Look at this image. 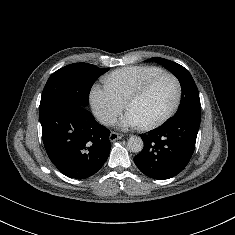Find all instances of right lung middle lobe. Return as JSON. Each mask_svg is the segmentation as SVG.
I'll list each match as a JSON object with an SVG mask.
<instances>
[{"label": "right lung middle lobe", "mask_w": 235, "mask_h": 235, "mask_svg": "<svg viewBox=\"0 0 235 235\" xmlns=\"http://www.w3.org/2000/svg\"><path fill=\"white\" fill-rule=\"evenodd\" d=\"M107 71L88 63H74L57 70L43 89L39 113L60 102H72L86 108L92 85Z\"/></svg>", "instance_id": "right-lung-middle-lobe-1"}]
</instances>
